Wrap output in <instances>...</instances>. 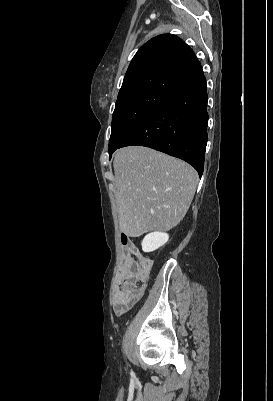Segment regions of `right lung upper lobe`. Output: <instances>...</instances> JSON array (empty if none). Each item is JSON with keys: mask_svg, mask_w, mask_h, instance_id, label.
Returning <instances> with one entry per match:
<instances>
[{"mask_svg": "<svg viewBox=\"0 0 273 401\" xmlns=\"http://www.w3.org/2000/svg\"><path fill=\"white\" fill-rule=\"evenodd\" d=\"M202 73L194 52L183 40L172 34L159 35L133 57L118 98L141 92L167 95Z\"/></svg>", "mask_w": 273, "mask_h": 401, "instance_id": "right-lung-upper-lobe-1", "label": "right lung upper lobe"}]
</instances>
